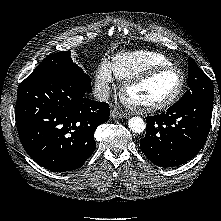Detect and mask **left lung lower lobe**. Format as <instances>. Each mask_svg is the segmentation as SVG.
I'll list each match as a JSON object with an SVG mask.
<instances>
[{
    "instance_id": "obj_1",
    "label": "left lung lower lobe",
    "mask_w": 221,
    "mask_h": 221,
    "mask_svg": "<svg viewBox=\"0 0 221 221\" xmlns=\"http://www.w3.org/2000/svg\"><path fill=\"white\" fill-rule=\"evenodd\" d=\"M213 99L194 96L176 102L166 112L146 117V136L140 148L160 167H173L191 160L207 139Z\"/></svg>"
}]
</instances>
